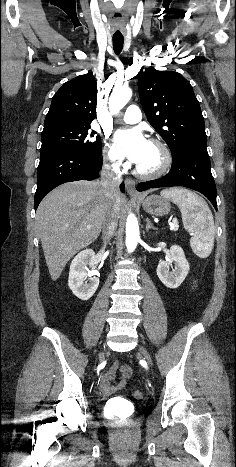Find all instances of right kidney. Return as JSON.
Here are the masks:
<instances>
[{"instance_id":"right-kidney-1","label":"right kidney","mask_w":236,"mask_h":467,"mask_svg":"<svg viewBox=\"0 0 236 467\" xmlns=\"http://www.w3.org/2000/svg\"><path fill=\"white\" fill-rule=\"evenodd\" d=\"M95 253L92 249L81 251L75 256L70 265L68 286L73 294L81 300L90 299L99 286V278L96 271H89L88 266L94 268ZM89 276V283L86 281Z\"/></svg>"}]
</instances>
